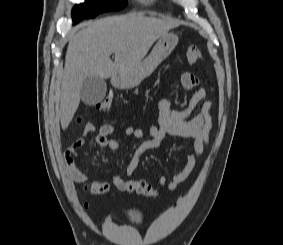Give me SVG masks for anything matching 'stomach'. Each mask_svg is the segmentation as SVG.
Here are the masks:
<instances>
[{
	"instance_id": "1",
	"label": "stomach",
	"mask_w": 283,
	"mask_h": 245,
	"mask_svg": "<svg viewBox=\"0 0 283 245\" xmlns=\"http://www.w3.org/2000/svg\"><path fill=\"white\" fill-rule=\"evenodd\" d=\"M178 43L177 35L167 33L162 36L147 58L129 71L119 74L114 78V84L121 89L136 87L142 80L152 74L173 51Z\"/></svg>"
}]
</instances>
